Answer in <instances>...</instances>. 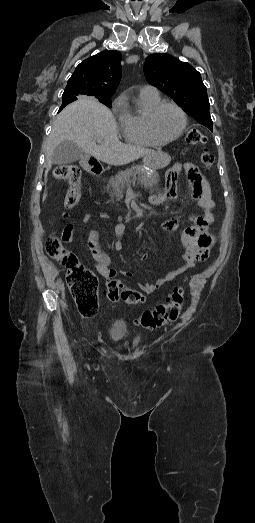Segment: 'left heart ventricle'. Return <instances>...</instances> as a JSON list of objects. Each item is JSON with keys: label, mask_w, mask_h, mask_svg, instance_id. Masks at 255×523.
Returning <instances> with one entry per match:
<instances>
[{"label": "left heart ventricle", "mask_w": 255, "mask_h": 523, "mask_svg": "<svg viewBox=\"0 0 255 523\" xmlns=\"http://www.w3.org/2000/svg\"><path fill=\"white\" fill-rule=\"evenodd\" d=\"M182 119L179 112L171 106H165L159 110L154 118V128L161 138L175 136L181 128Z\"/></svg>", "instance_id": "1"}]
</instances>
